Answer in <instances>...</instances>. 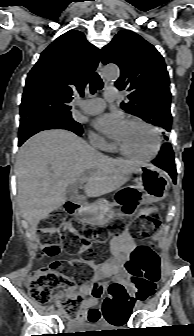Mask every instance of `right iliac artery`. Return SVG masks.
I'll list each match as a JSON object with an SVG mask.
<instances>
[{
  "label": "right iliac artery",
  "mask_w": 194,
  "mask_h": 336,
  "mask_svg": "<svg viewBox=\"0 0 194 336\" xmlns=\"http://www.w3.org/2000/svg\"><path fill=\"white\" fill-rule=\"evenodd\" d=\"M62 308L59 306V310H61Z\"/></svg>",
  "instance_id": "1"
}]
</instances>
